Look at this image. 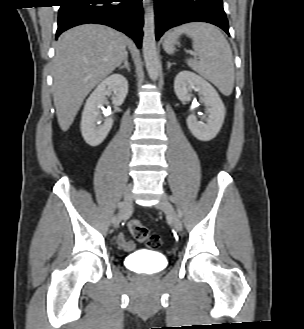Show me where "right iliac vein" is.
I'll use <instances>...</instances> for the list:
<instances>
[{
  "label": "right iliac vein",
  "mask_w": 304,
  "mask_h": 329,
  "mask_svg": "<svg viewBox=\"0 0 304 329\" xmlns=\"http://www.w3.org/2000/svg\"><path fill=\"white\" fill-rule=\"evenodd\" d=\"M132 204V185H128L123 195V206L118 213V216L113 223L114 227H118L121 220L126 216Z\"/></svg>",
  "instance_id": "right-iliac-vein-1"
}]
</instances>
